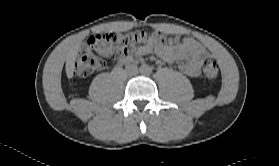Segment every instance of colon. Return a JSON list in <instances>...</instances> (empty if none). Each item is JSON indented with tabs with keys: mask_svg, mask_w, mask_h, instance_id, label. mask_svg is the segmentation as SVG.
<instances>
[{
	"mask_svg": "<svg viewBox=\"0 0 279 166\" xmlns=\"http://www.w3.org/2000/svg\"><path fill=\"white\" fill-rule=\"evenodd\" d=\"M175 40L167 38L160 32H111L92 36L80 47L74 62V73L78 77H88L104 67V60H121L131 55L138 47L154 44L165 46ZM202 71L206 78L215 79L219 73L218 64L211 59L202 63Z\"/></svg>",
	"mask_w": 279,
	"mask_h": 166,
	"instance_id": "colon-1",
	"label": "colon"
}]
</instances>
